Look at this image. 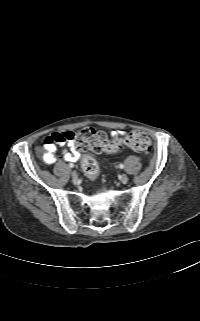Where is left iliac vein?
Listing matches in <instances>:
<instances>
[{
	"label": "left iliac vein",
	"instance_id": "obj_1",
	"mask_svg": "<svg viewBox=\"0 0 200 321\" xmlns=\"http://www.w3.org/2000/svg\"><path fill=\"white\" fill-rule=\"evenodd\" d=\"M120 181L123 184H126L128 182V176L126 174H122L121 177H120Z\"/></svg>",
	"mask_w": 200,
	"mask_h": 321
}]
</instances>
